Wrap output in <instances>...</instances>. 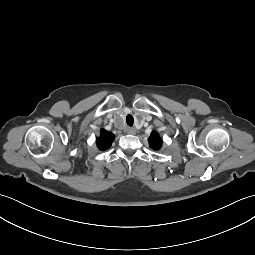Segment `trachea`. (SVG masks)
Returning a JSON list of instances; mask_svg holds the SVG:
<instances>
[{"instance_id":"trachea-1","label":"trachea","mask_w":255,"mask_h":255,"mask_svg":"<svg viewBox=\"0 0 255 255\" xmlns=\"http://www.w3.org/2000/svg\"><path fill=\"white\" fill-rule=\"evenodd\" d=\"M126 122L129 126H133V123H134V118L132 115H127L126 117Z\"/></svg>"}]
</instances>
